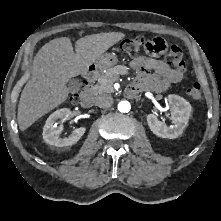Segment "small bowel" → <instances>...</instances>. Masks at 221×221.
<instances>
[{
  "mask_svg": "<svg viewBox=\"0 0 221 221\" xmlns=\"http://www.w3.org/2000/svg\"><path fill=\"white\" fill-rule=\"evenodd\" d=\"M150 56H139L132 60L131 66L137 72L136 83L131 86L139 90L163 91L172 83L180 82L184 74L163 60L157 59L159 53L148 52Z\"/></svg>",
  "mask_w": 221,
  "mask_h": 221,
  "instance_id": "c3829d8e",
  "label": "small bowel"
}]
</instances>
